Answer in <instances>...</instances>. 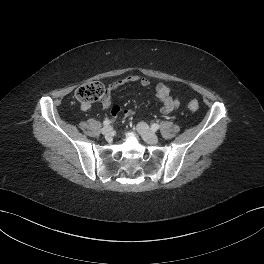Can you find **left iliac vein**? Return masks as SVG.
<instances>
[{
  "mask_svg": "<svg viewBox=\"0 0 264 264\" xmlns=\"http://www.w3.org/2000/svg\"><path fill=\"white\" fill-rule=\"evenodd\" d=\"M137 131L140 133L142 138L149 144H156L159 141L158 136L149 128V126L144 123L140 122L137 125Z\"/></svg>",
  "mask_w": 264,
  "mask_h": 264,
  "instance_id": "4c4485c4",
  "label": "left iliac vein"
}]
</instances>
